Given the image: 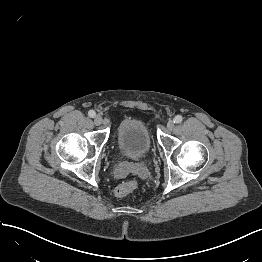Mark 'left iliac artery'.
<instances>
[{
	"label": "left iliac artery",
	"mask_w": 262,
	"mask_h": 262,
	"mask_svg": "<svg viewBox=\"0 0 262 262\" xmlns=\"http://www.w3.org/2000/svg\"><path fill=\"white\" fill-rule=\"evenodd\" d=\"M182 120H183L182 116L181 115H177V116H175L173 121H174V123H181Z\"/></svg>",
	"instance_id": "obj_1"
}]
</instances>
